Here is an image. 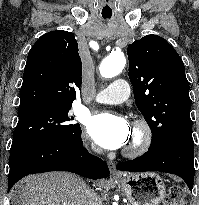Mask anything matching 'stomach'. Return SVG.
<instances>
[{"label": "stomach", "mask_w": 199, "mask_h": 205, "mask_svg": "<svg viewBox=\"0 0 199 205\" xmlns=\"http://www.w3.org/2000/svg\"><path fill=\"white\" fill-rule=\"evenodd\" d=\"M117 184L131 205H159L165 197L164 181L154 172L126 174Z\"/></svg>", "instance_id": "0dacf381"}]
</instances>
